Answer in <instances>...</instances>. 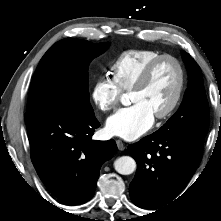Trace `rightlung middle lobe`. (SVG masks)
Returning <instances> with one entry per match:
<instances>
[{"instance_id": "right-lung-middle-lobe-1", "label": "right lung middle lobe", "mask_w": 221, "mask_h": 221, "mask_svg": "<svg viewBox=\"0 0 221 221\" xmlns=\"http://www.w3.org/2000/svg\"><path fill=\"white\" fill-rule=\"evenodd\" d=\"M108 45L67 38L42 57L33 76L27 112L51 108L72 114L94 115L88 90V67Z\"/></svg>"}]
</instances>
